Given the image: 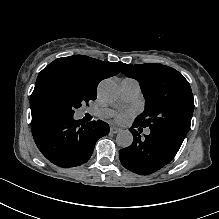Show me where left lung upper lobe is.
Here are the masks:
<instances>
[{"instance_id": "5c2ea615", "label": "left lung upper lobe", "mask_w": 219, "mask_h": 219, "mask_svg": "<svg viewBox=\"0 0 219 219\" xmlns=\"http://www.w3.org/2000/svg\"><path fill=\"white\" fill-rule=\"evenodd\" d=\"M122 73L140 83L145 98V110L134 122L184 140L194 111L191 87L184 76L161 64H125Z\"/></svg>"}]
</instances>
